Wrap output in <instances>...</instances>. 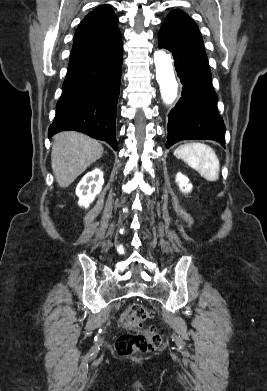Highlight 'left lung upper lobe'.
<instances>
[{"instance_id":"1","label":"left lung upper lobe","mask_w":267,"mask_h":391,"mask_svg":"<svg viewBox=\"0 0 267 391\" xmlns=\"http://www.w3.org/2000/svg\"><path fill=\"white\" fill-rule=\"evenodd\" d=\"M162 27L173 29L195 40L203 42L202 36L195 22L186 13L180 10L171 11L167 15Z\"/></svg>"}]
</instances>
